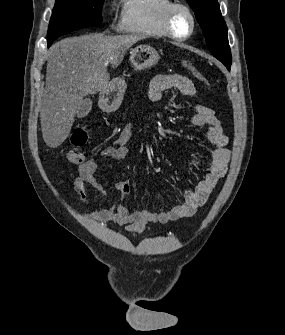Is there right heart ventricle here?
<instances>
[{"label":"right heart ventricle","instance_id":"e07e8e85","mask_svg":"<svg viewBox=\"0 0 285 335\" xmlns=\"http://www.w3.org/2000/svg\"><path fill=\"white\" fill-rule=\"evenodd\" d=\"M173 1H133L134 16L128 22L144 39L161 40L170 38L166 14Z\"/></svg>","mask_w":285,"mask_h":335}]
</instances>
